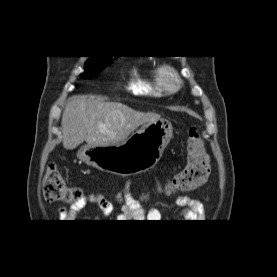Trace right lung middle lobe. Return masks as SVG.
<instances>
[{
	"mask_svg": "<svg viewBox=\"0 0 277 277\" xmlns=\"http://www.w3.org/2000/svg\"><path fill=\"white\" fill-rule=\"evenodd\" d=\"M110 60L88 59L85 63V72L82 77H92L96 75L109 64Z\"/></svg>",
	"mask_w": 277,
	"mask_h": 277,
	"instance_id": "right-lung-middle-lobe-1",
	"label": "right lung middle lobe"
}]
</instances>
